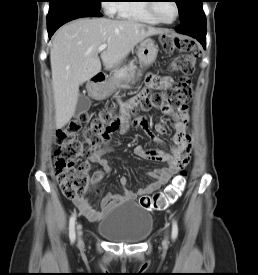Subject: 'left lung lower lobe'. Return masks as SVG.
Segmentation results:
<instances>
[{
	"instance_id": "left-lung-lower-lobe-1",
	"label": "left lung lower lobe",
	"mask_w": 258,
	"mask_h": 275,
	"mask_svg": "<svg viewBox=\"0 0 258 275\" xmlns=\"http://www.w3.org/2000/svg\"><path fill=\"white\" fill-rule=\"evenodd\" d=\"M203 0H196L191 6L176 31L197 39L206 47V17L202 7Z\"/></svg>"
}]
</instances>
